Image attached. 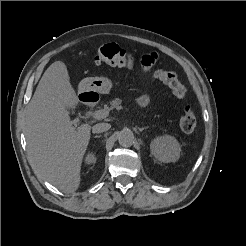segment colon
Wrapping results in <instances>:
<instances>
[{
    "instance_id": "obj_1",
    "label": "colon",
    "mask_w": 246,
    "mask_h": 246,
    "mask_svg": "<svg viewBox=\"0 0 246 246\" xmlns=\"http://www.w3.org/2000/svg\"><path fill=\"white\" fill-rule=\"evenodd\" d=\"M95 60L113 66L131 68L134 65V56L115 43L104 44L95 56ZM156 78L166 84L177 98L186 94L185 86L178 80L177 75L170 70L159 69L155 72ZM197 121L191 106H186L179 120V127L183 132L190 133L196 127Z\"/></svg>"
}]
</instances>
